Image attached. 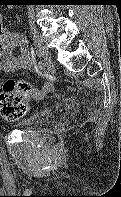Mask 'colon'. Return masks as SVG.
<instances>
[{
	"label": "colon",
	"instance_id": "obj_1",
	"mask_svg": "<svg viewBox=\"0 0 121 197\" xmlns=\"http://www.w3.org/2000/svg\"><path fill=\"white\" fill-rule=\"evenodd\" d=\"M34 95L33 86L23 80H8L0 91V115L7 121H16L27 113V102Z\"/></svg>",
	"mask_w": 121,
	"mask_h": 197
}]
</instances>
